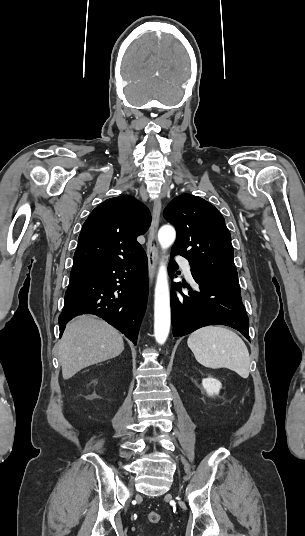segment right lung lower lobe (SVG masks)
<instances>
[{
    "label": "right lung lower lobe",
    "mask_w": 305,
    "mask_h": 536,
    "mask_svg": "<svg viewBox=\"0 0 305 536\" xmlns=\"http://www.w3.org/2000/svg\"><path fill=\"white\" fill-rule=\"evenodd\" d=\"M148 296V263L144 253L70 275L59 316L60 337L66 323L80 314H95L135 345Z\"/></svg>",
    "instance_id": "right-lung-lower-lobe-1"
}]
</instances>
